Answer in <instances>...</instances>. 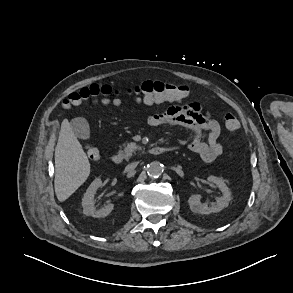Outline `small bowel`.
<instances>
[{
    "instance_id": "small-bowel-1",
    "label": "small bowel",
    "mask_w": 293,
    "mask_h": 293,
    "mask_svg": "<svg viewBox=\"0 0 293 293\" xmlns=\"http://www.w3.org/2000/svg\"><path fill=\"white\" fill-rule=\"evenodd\" d=\"M143 103L153 105L162 101L143 98ZM151 127L179 126L191 133L188 149L204 162H213L223 151L219 141L221 128L219 123L208 114H202L200 107L195 104H175L165 112L154 114L148 118Z\"/></svg>"
}]
</instances>
